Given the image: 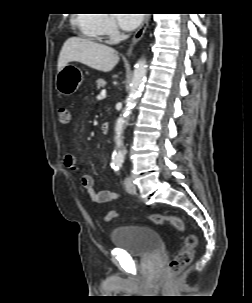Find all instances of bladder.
Instances as JSON below:
<instances>
[{
	"mask_svg": "<svg viewBox=\"0 0 252 303\" xmlns=\"http://www.w3.org/2000/svg\"><path fill=\"white\" fill-rule=\"evenodd\" d=\"M112 244L135 257H148L161 250L158 231L141 225L120 226L111 233Z\"/></svg>",
	"mask_w": 252,
	"mask_h": 303,
	"instance_id": "bladder-1",
	"label": "bladder"
}]
</instances>
